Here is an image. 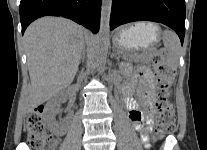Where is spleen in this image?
<instances>
[{
  "instance_id": "1",
  "label": "spleen",
  "mask_w": 207,
  "mask_h": 150,
  "mask_svg": "<svg viewBox=\"0 0 207 150\" xmlns=\"http://www.w3.org/2000/svg\"><path fill=\"white\" fill-rule=\"evenodd\" d=\"M163 43L167 50L166 62L171 68H176L180 57V40L178 36L169 30L163 32Z\"/></svg>"
}]
</instances>
